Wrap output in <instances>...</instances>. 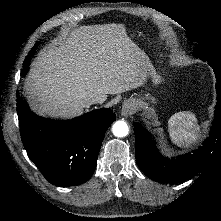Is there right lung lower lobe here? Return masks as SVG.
I'll return each instance as SVG.
<instances>
[{
  "instance_id": "obj_1",
  "label": "right lung lower lobe",
  "mask_w": 221,
  "mask_h": 221,
  "mask_svg": "<svg viewBox=\"0 0 221 221\" xmlns=\"http://www.w3.org/2000/svg\"><path fill=\"white\" fill-rule=\"evenodd\" d=\"M20 134L31 161L48 182L57 186L86 182L97 165L105 132L116 116L98 109L72 120L37 116L17 91Z\"/></svg>"
}]
</instances>
